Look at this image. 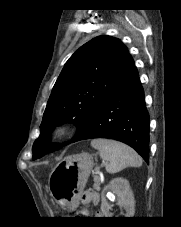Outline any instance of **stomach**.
I'll list each match as a JSON object with an SVG mask.
<instances>
[{
    "label": "stomach",
    "instance_id": "0dacf381",
    "mask_svg": "<svg viewBox=\"0 0 181 227\" xmlns=\"http://www.w3.org/2000/svg\"><path fill=\"white\" fill-rule=\"evenodd\" d=\"M93 165V157L81 153L66 157L54 167L49 176L48 188L62 208H75Z\"/></svg>",
    "mask_w": 181,
    "mask_h": 227
}]
</instances>
